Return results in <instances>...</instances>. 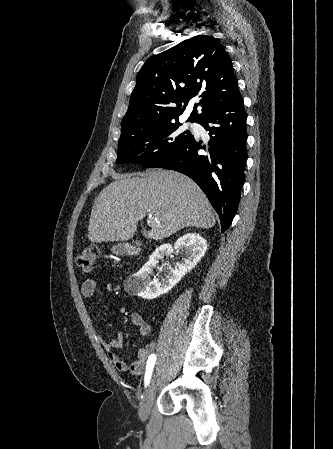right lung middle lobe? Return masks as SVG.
<instances>
[{
  "mask_svg": "<svg viewBox=\"0 0 333 449\" xmlns=\"http://www.w3.org/2000/svg\"><path fill=\"white\" fill-rule=\"evenodd\" d=\"M180 126L178 120L169 121L119 141L116 163L132 162L146 168L156 167L191 139L190 131L182 132Z\"/></svg>",
  "mask_w": 333,
  "mask_h": 449,
  "instance_id": "obj_1",
  "label": "right lung middle lobe"
}]
</instances>
